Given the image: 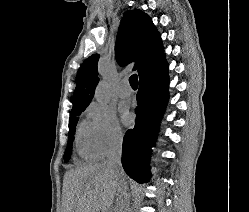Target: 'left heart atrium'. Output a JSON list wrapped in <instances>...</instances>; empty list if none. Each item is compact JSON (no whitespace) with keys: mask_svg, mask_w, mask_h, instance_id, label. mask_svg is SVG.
I'll return each mask as SVG.
<instances>
[{"mask_svg":"<svg viewBox=\"0 0 249 212\" xmlns=\"http://www.w3.org/2000/svg\"><path fill=\"white\" fill-rule=\"evenodd\" d=\"M121 121L125 127H130L133 123V116L128 111L121 112Z\"/></svg>","mask_w":249,"mask_h":212,"instance_id":"left-heart-atrium-1","label":"left heart atrium"}]
</instances>
